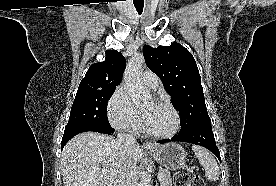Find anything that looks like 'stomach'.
Listing matches in <instances>:
<instances>
[{
	"label": "stomach",
	"mask_w": 276,
	"mask_h": 186,
	"mask_svg": "<svg viewBox=\"0 0 276 186\" xmlns=\"http://www.w3.org/2000/svg\"><path fill=\"white\" fill-rule=\"evenodd\" d=\"M148 153L167 170H177L185 165L186 153L177 143H167L156 146Z\"/></svg>",
	"instance_id": "stomach-1"
}]
</instances>
